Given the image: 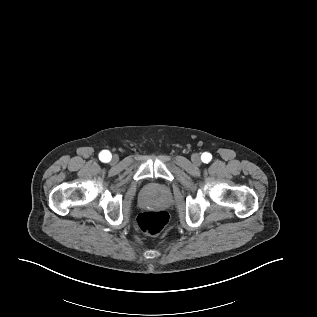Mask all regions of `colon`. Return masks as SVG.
Here are the masks:
<instances>
[{
  "label": "colon",
  "mask_w": 317,
  "mask_h": 317,
  "mask_svg": "<svg viewBox=\"0 0 317 317\" xmlns=\"http://www.w3.org/2000/svg\"><path fill=\"white\" fill-rule=\"evenodd\" d=\"M169 220L167 212L163 210L145 211L138 215L137 224L147 235L159 234Z\"/></svg>",
  "instance_id": "5ec220e1"
}]
</instances>
